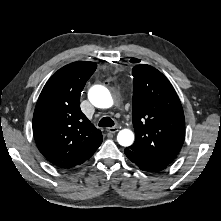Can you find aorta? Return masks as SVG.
I'll use <instances>...</instances> for the list:
<instances>
[{
  "label": "aorta",
  "mask_w": 221,
  "mask_h": 221,
  "mask_svg": "<svg viewBox=\"0 0 221 221\" xmlns=\"http://www.w3.org/2000/svg\"><path fill=\"white\" fill-rule=\"evenodd\" d=\"M90 102L97 108H110L113 105L112 96L107 88L95 85L89 90ZM117 141L121 146L128 147L134 142V133L129 129L121 130L117 135Z\"/></svg>",
  "instance_id": "obj_1"
}]
</instances>
